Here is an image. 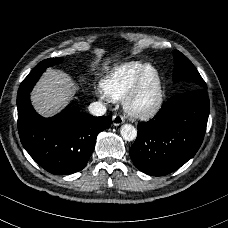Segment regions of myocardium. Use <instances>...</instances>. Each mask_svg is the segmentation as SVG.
<instances>
[{"label": "myocardium", "mask_w": 228, "mask_h": 228, "mask_svg": "<svg viewBox=\"0 0 228 228\" xmlns=\"http://www.w3.org/2000/svg\"><path fill=\"white\" fill-rule=\"evenodd\" d=\"M150 74H154L155 76V99L151 103H144L141 100V96ZM164 98L163 77L155 66H149L140 74L131 91L124 98L123 105L129 115L135 118L149 119L161 111L164 105Z\"/></svg>", "instance_id": "1"}]
</instances>
